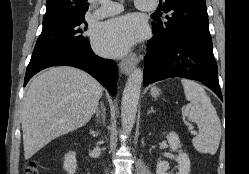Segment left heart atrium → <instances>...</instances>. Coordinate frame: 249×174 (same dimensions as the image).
Here are the masks:
<instances>
[{
  "label": "left heart atrium",
  "mask_w": 249,
  "mask_h": 174,
  "mask_svg": "<svg viewBox=\"0 0 249 174\" xmlns=\"http://www.w3.org/2000/svg\"><path fill=\"white\" fill-rule=\"evenodd\" d=\"M144 24L135 16L114 18L103 23L96 31L95 49L108 57H120L143 37Z\"/></svg>",
  "instance_id": "obj_1"
}]
</instances>
